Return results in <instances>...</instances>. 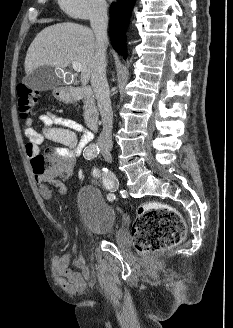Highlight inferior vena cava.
<instances>
[{"mask_svg":"<svg viewBox=\"0 0 233 328\" xmlns=\"http://www.w3.org/2000/svg\"><path fill=\"white\" fill-rule=\"evenodd\" d=\"M91 27L96 37V51L91 66V85L93 87L100 111L103 129L97 139V146L102 153L112 149L113 111L106 79V47H107V4L98 2L90 18Z\"/></svg>","mask_w":233,"mask_h":328,"instance_id":"obj_1","label":"inferior vena cava"}]
</instances>
